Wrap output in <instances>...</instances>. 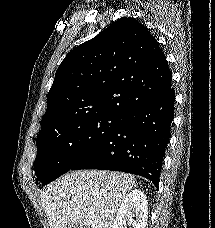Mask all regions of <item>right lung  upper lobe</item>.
<instances>
[{
    "label": "right lung upper lobe",
    "instance_id": "obj_1",
    "mask_svg": "<svg viewBox=\"0 0 215 228\" xmlns=\"http://www.w3.org/2000/svg\"><path fill=\"white\" fill-rule=\"evenodd\" d=\"M171 75L148 29L122 17L62 61L47 95L41 130L98 114L123 115L161 95Z\"/></svg>",
    "mask_w": 215,
    "mask_h": 228
}]
</instances>
